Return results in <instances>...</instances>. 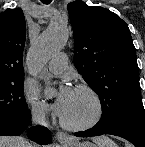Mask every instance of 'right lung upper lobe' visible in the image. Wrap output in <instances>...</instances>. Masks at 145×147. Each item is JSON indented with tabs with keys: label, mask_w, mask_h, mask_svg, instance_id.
I'll use <instances>...</instances> for the list:
<instances>
[{
	"label": "right lung upper lobe",
	"mask_w": 145,
	"mask_h": 147,
	"mask_svg": "<svg viewBox=\"0 0 145 147\" xmlns=\"http://www.w3.org/2000/svg\"><path fill=\"white\" fill-rule=\"evenodd\" d=\"M26 21L21 9L0 13V82L24 76L22 55Z\"/></svg>",
	"instance_id": "1"
}]
</instances>
